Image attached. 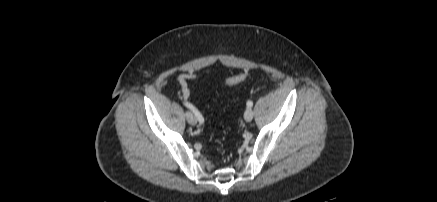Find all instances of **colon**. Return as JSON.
Returning <instances> with one entry per match:
<instances>
[{
    "label": "colon",
    "instance_id": "obj_1",
    "mask_svg": "<svg viewBox=\"0 0 437 202\" xmlns=\"http://www.w3.org/2000/svg\"><path fill=\"white\" fill-rule=\"evenodd\" d=\"M247 76H248L247 72H241V73L235 74V75L229 77L225 81V85L228 86V87H232V86L238 85L239 83L244 81Z\"/></svg>",
    "mask_w": 437,
    "mask_h": 202
}]
</instances>
